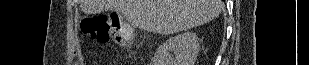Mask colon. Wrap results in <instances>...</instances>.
Returning a JSON list of instances; mask_svg holds the SVG:
<instances>
[{
  "label": "colon",
  "instance_id": "obj_1",
  "mask_svg": "<svg viewBox=\"0 0 309 65\" xmlns=\"http://www.w3.org/2000/svg\"><path fill=\"white\" fill-rule=\"evenodd\" d=\"M82 34L99 44L115 42L125 47L135 45V38L129 27L119 24L112 15L85 16L80 21Z\"/></svg>",
  "mask_w": 309,
  "mask_h": 65
}]
</instances>
